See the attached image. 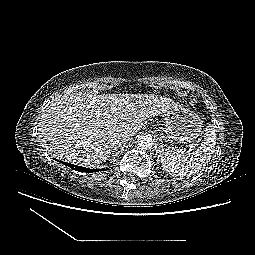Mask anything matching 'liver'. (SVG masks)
<instances>
[{"label": "liver", "mask_w": 255, "mask_h": 255, "mask_svg": "<svg viewBox=\"0 0 255 255\" xmlns=\"http://www.w3.org/2000/svg\"><path fill=\"white\" fill-rule=\"evenodd\" d=\"M174 103L155 94H64L43 111L39 141L51 156L91 167L110 157L117 133L134 136L144 120L165 114Z\"/></svg>", "instance_id": "obj_1"}]
</instances>
